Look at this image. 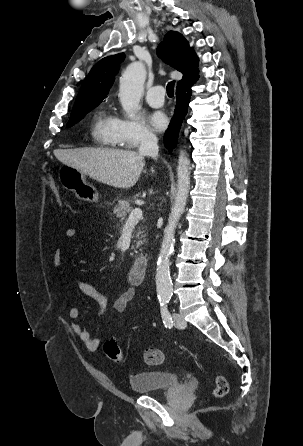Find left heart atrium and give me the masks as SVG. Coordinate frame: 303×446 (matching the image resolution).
I'll use <instances>...</instances> for the list:
<instances>
[{
	"label": "left heart atrium",
	"mask_w": 303,
	"mask_h": 446,
	"mask_svg": "<svg viewBox=\"0 0 303 446\" xmlns=\"http://www.w3.org/2000/svg\"><path fill=\"white\" fill-rule=\"evenodd\" d=\"M150 124L157 131H163L168 125L167 116L161 111H155L149 116Z\"/></svg>",
	"instance_id": "1"
}]
</instances>
